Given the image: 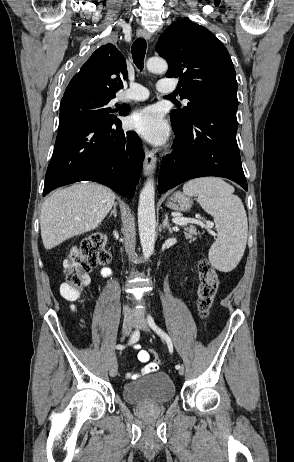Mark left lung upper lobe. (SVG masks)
<instances>
[{"label":"left lung upper lobe","mask_w":294,"mask_h":462,"mask_svg":"<svg viewBox=\"0 0 294 462\" xmlns=\"http://www.w3.org/2000/svg\"><path fill=\"white\" fill-rule=\"evenodd\" d=\"M156 51L169 64L168 78H180L181 99L189 103L170 112L171 122L188 125L208 106L238 105L236 72L229 53L208 29L190 20H178L160 36Z\"/></svg>","instance_id":"obj_1"}]
</instances>
